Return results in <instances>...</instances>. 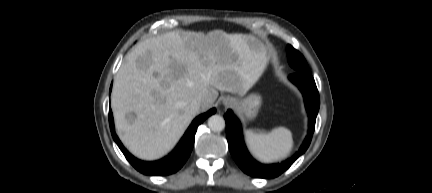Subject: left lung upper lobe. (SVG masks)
<instances>
[{"instance_id": "1", "label": "left lung upper lobe", "mask_w": 432, "mask_h": 193, "mask_svg": "<svg viewBox=\"0 0 432 193\" xmlns=\"http://www.w3.org/2000/svg\"><path fill=\"white\" fill-rule=\"evenodd\" d=\"M288 62L297 72L311 73L303 55L291 45L287 46Z\"/></svg>"}]
</instances>
